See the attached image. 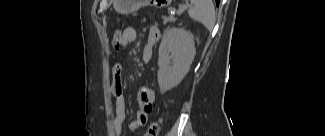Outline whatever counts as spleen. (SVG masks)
Listing matches in <instances>:
<instances>
[{
    "label": "spleen",
    "instance_id": "obj_1",
    "mask_svg": "<svg viewBox=\"0 0 325 136\" xmlns=\"http://www.w3.org/2000/svg\"><path fill=\"white\" fill-rule=\"evenodd\" d=\"M193 4L194 6L188 10L189 16L212 31L216 21L212 0H194Z\"/></svg>",
    "mask_w": 325,
    "mask_h": 136
}]
</instances>
